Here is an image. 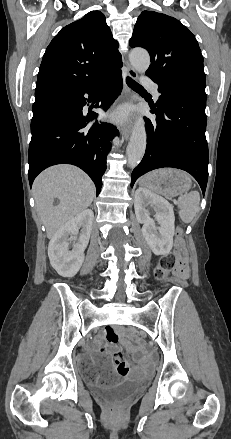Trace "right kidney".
<instances>
[{"label": "right kidney", "mask_w": 231, "mask_h": 439, "mask_svg": "<svg viewBox=\"0 0 231 439\" xmlns=\"http://www.w3.org/2000/svg\"><path fill=\"white\" fill-rule=\"evenodd\" d=\"M94 213L87 209L69 220L51 238L48 246V256L52 267L63 277H73L77 274L84 261V251L88 245ZM82 228L80 236L73 249L69 251L68 242Z\"/></svg>", "instance_id": "obj_1"}]
</instances>
